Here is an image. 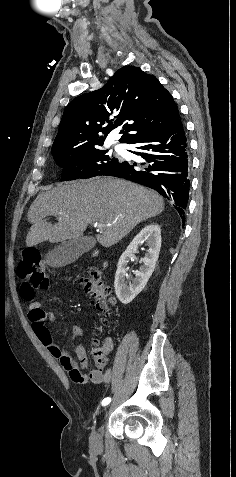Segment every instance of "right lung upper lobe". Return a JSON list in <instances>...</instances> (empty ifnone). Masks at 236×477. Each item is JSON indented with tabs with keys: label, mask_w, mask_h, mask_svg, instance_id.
<instances>
[{
	"label": "right lung upper lobe",
	"mask_w": 236,
	"mask_h": 477,
	"mask_svg": "<svg viewBox=\"0 0 236 477\" xmlns=\"http://www.w3.org/2000/svg\"><path fill=\"white\" fill-rule=\"evenodd\" d=\"M178 113L172 96L156 77L138 67L125 66L104 87L80 95L67 105L52 155L100 147L120 125L124 135L119 141L129 143L165 128Z\"/></svg>",
	"instance_id": "1"
}]
</instances>
